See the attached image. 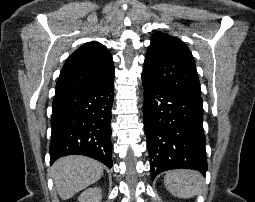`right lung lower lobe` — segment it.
<instances>
[{"label": "right lung lower lobe", "mask_w": 255, "mask_h": 202, "mask_svg": "<svg viewBox=\"0 0 255 202\" xmlns=\"http://www.w3.org/2000/svg\"><path fill=\"white\" fill-rule=\"evenodd\" d=\"M113 80L98 87L57 94L52 105L51 164L80 154L112 167L111 108Z\"/></svg>", "instance_id": "98d812e1"}]
</instances>
